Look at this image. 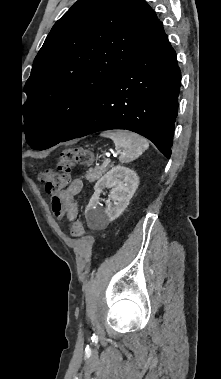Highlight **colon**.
Returning <instances> with one entry per match:
<instances>
[{
    "mask_svg": "<svg viewBox=\"0 0 221 379\" xmlns=\"http://www.w3.org/2000/svg\"><path fill=\"white\" fill-rule=\"evenodd\" d=\"M92 154L79 147L65 149L61 152L56 170L46 169L39 175V180L45 185L46 192L50 190H63L72 182V169L75 165L89 166L92 164ZM74 237H82L85 228L81 221L76 220L71 227Z\"/></svg>",
    "mask_w": 221,
    "mask_h": 379,
    "instance_id": "colon-1",
    "label": "colon"
}]
</instances>
